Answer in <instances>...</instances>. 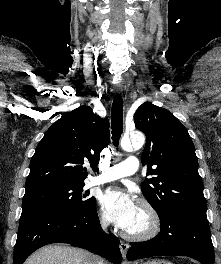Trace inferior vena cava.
<instances>
[{
    "label": "inferior vena cava",
    "instance_id": "602c4592",
    "mask_svg": "<svg viewBox=\"0 0 221 264\" xmlns=\"http://www.w3.org/2000/svg\"><path fill=\"white\" fill-rule=\"evenodd\" d=\"M106 225H107V223H106L105 221H103V222H102V226H103V227H106ZM98 264H103V262H102V261H99Z\"/></svg>",
    "mask_w": 221,
    "mask_h": 264
}]
</instances>
